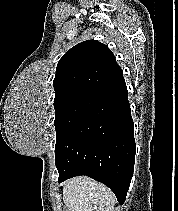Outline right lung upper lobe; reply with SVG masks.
Masks as SVG:
<instances>
[{
    "instance_id": "obj_1",
    "label": "right lung upper lobe",
    "mask_w": 178,
    "mask_h": 211,
    "mask_svg": "<svg viewBox=\"0 0 178 211\" xmlns=\"http://www.w3.org/2000/svg\"><path fill=\"white\" fill-rule=\"evenodd\" d=\"M53 86L56 108L76 101L97 102L126 85L110 49L88 40L72 47L59 60Z\"/></svg>"
}]
</instances>
